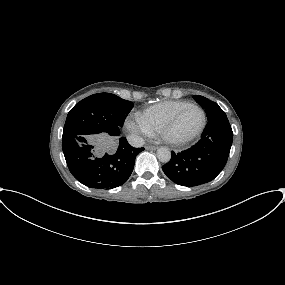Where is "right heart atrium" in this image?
<instances>
[{
    "label": "right heart atrium",
    "instance_id": "right-heart-atrium-1",
    "mask_svg": "<svg viewBox=\"0 0 285 285\" xmlns=\"http://www.w3.org/2000/svg\"><path fill=\"white\" fill-rule=\"evenodd\" d=\"M125 125L136 138H140L141 136H151L153 134V132L139 119L137 115L128 117Z\"/></svg>",
    "mask_w": 285,
    "mask_h": 285
}]
</instances>
